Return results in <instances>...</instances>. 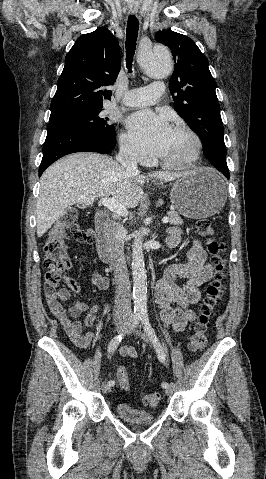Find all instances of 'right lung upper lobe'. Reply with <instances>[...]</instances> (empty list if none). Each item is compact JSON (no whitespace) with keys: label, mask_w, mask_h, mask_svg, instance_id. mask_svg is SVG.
<instances>
[{"label":"right lung upper lobe","mask_w":266,"mask_h":479,"mask_svg":"<svg viewBox=\"0 0 266 479\" xmlns=\"http://www.w3.org/2000/svg\"><path fill=\"white\" fill-rule=\"evenodd\" d=\"M119 71V44L107 28L81 35L65 57L51 113L103 107V100H110L112 94L104 88L114 84Z\"/></svg>","instance_id":"1"}]
</instances>
